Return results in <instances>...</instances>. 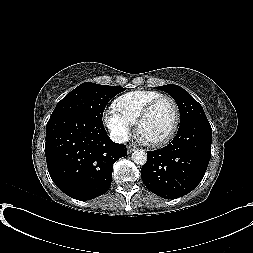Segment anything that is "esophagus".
Returning <instances> with one entry per match:
<instances>
[{"mask_svg":"<svg viewBox=\"0 0 253 253\" xmlns=\"http://www.w3.org/2000/svg\"><path fill=\"white\" fill-rule=\"evenodd\" d=\"M137 149V147L133 144H130L128 146V153H132L133 151H135Z\"/></svg>","mask_w":253,"mask_h":253,"instance_id":"1","label":"esophagus"}]
</instances>
